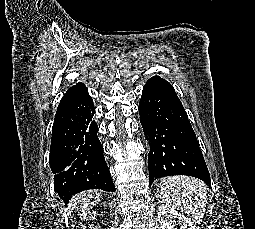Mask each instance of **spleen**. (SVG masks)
Masks as SVG:
<instances>
[{
    "label": "spleen",
    "mask_w": 255,
    "mask_h": 229,
    "mask_svg": "<svg viewBox=\"0 0 255 229\" xmlns=\"http://www.w3.org/2000/svg\"><path fill=\"white\" fill-rule=\"evenodd\" d=\"M158 194L166 204L187 213L193 221H201L207 204V187L201 180L183 175L165 177Z\"/></svg>",
    "instance_id": "spleen-1"
}]
</instances>
